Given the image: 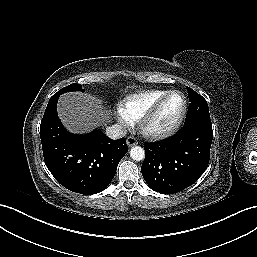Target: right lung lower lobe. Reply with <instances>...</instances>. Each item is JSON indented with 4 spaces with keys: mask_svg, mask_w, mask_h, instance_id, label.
Instances as JSON below:
<instances>
[{
    "mask_svg": "<svg viewBox=\"0 0 257 257\" xmlns=\"http://www.w3.org/2000/svg\"><path fill=\"white\" fill-rule=\"evenodd\" d=\"M55 93L40 125L44 161L54 178L70 191L83 195L103 191L127 153L126 139H109L100 130L86 135L69 133L57 115Z\"/></svg>",
    "mask_w": 257,
    "mask_h": 257,
    "instance_id": "obj_1",
    "label": "right lung lower lobe"
}]
</instances>
